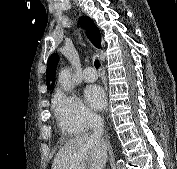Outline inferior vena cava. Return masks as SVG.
Wrapping results in <instances>:
<instances>
[{"label":"inferior vena cava","instance_id":"obj_1","mask_svg":"<svg viewBox=\"0 0 177 169\" xmlns=\"http://www.w3.org/2000/svg\"><path fill=\"white\" fill-rule=\"evenodd\" d=\"M92 135L96 138H101L104 133V121L100 116L93 115L91 117Z\"/></svg>","mask_w":177,"mask_h":169}]
</instances>
